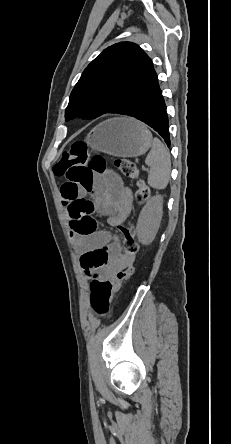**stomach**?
<instances>
[{
	"label": "stomach",
	"mask_w": 231,
	"mask_h": 444,
	"mask_svg": "<svg viewBox=\"0 0 231 444\" xmlns=\"http://www.w3.org/2000/svg\"><path fill=\"white\" fill-rule=\"evenodd\" d=\"M91 148L118 157H137L151 147L152 135L141 122L127 117L106 120L85 139Z\"/></svg>",
	"instance_id": "0dacf381"
}]
</instances>
